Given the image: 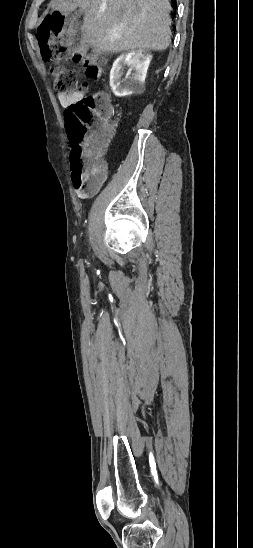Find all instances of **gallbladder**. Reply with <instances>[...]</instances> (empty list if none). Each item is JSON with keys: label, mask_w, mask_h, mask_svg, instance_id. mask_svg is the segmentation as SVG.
I'll list each match as a JSON object with an SVG mask.
<instances>
[{"label": "gallbladder", "mask_w": 253, "mask_h": 548, "mask_svg": "<svg viewBox=\"0 0 253 548\" xmlns=\"http://www.w3.org/2000/svg\"><path fill=\"white\" fill-rule=\"evenodd\" d=\"M81 14H82L81 11H76V12H75V15H76V16H80Z\"/></svg>", "instance_id": "obj_1"}]
</instances>
